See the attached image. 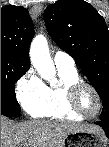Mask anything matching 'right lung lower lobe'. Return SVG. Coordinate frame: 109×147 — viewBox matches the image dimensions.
Masks as SVG:
<instances>
[{
    "instance_id": "1",
    "label": "right lung lower lobe",
    "mask_w": 109,
    "mask_h": 147,
    "mask_svg": "<svg viewBox=\"0 0 109 147\" xmlns=\"http://www.w3.org/2000/svg\"><path fill=\"white\" fill-rule=\"evenodd\" d=\"M1 115L10 117V118H14L13 116L9 115L7 112H5L2 108H1Z\"/></svg>"
}]
</instances>
